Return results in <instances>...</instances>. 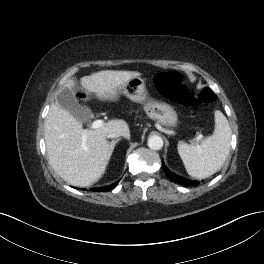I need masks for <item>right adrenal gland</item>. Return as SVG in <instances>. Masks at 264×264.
<instances>
[{
  "instance_id": "obj_1",
  "label": "right adrenal gland",
  "mask_w": 264,
  "mask_h": 264,
  "mask_svg": "<svg viewBox=\"0 0 264 264\" xmlns=\"http://www.w3.org/2000/svg\"><path fill=\"white\" fill-rule=\"evenodd\" d=\"M120 141V138L116 139V140H112L110 143H109V146H110V153L113 152L114 148H115V145Z\"/></svg>"
}]
</instances>
